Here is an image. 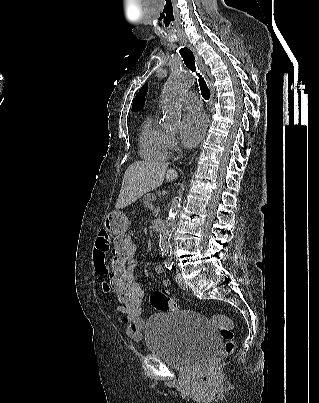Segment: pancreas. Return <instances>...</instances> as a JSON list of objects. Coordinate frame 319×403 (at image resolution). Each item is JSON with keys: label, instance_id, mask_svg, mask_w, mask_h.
I'll return each instance as SVG.
<instances>
[{"label": "pancreas", "instance_id": "cf45deb5", "mask_svg": "<svg viewBox=\"0 0 319 403\" xmlns=\"http://www.w3.org/2000/svg\"><path fill=\"white\" fill-rule=\"evenodd\" d=\"M155 198H156V195L153 193H149V194L145 195L143 197V206L145 208H150Z\"/></svg>", "mask_w": 319, "mask_h": 403}]
</instances>
